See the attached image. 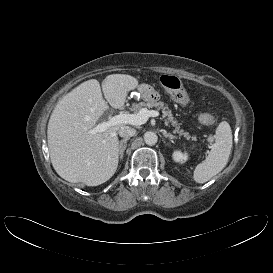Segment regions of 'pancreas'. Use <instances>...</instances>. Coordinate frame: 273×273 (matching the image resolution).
Here are the masks:
<instances>
[{
    "mask_svg": "<svg viewBox=\"0 0 273 273\" xmlns=\"http://www.w3.org/2000/svg\"><path fill=\"white\" fill-rule=\"evenodd\" d=\"M155 107L157 110H162V117L164 118L165 121V125L169 126L172 125L173 127H175L174 133H178L180 136L183 135L186 138H191V136L189 135L188 132H184L182 129H180V123H178V121H176L173 117V114L171 112V110L165 105L164 102H140V103H133L132 107H131V111H133L135 114H137L141 109L143 108H153Z\"/></svg>",
    "mask_w": 273,
    "mask_h": 273,
    "instance_id": "obj_1",
    "label": "pancreas"
}]
</instances>
